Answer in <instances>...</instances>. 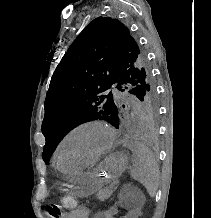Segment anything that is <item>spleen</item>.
<instances>
[{
	"label": "spleen",
	"mask_w": 211,
	"mask_h": 218,
	"mask_svg": "<svg viewBox=\"0 0 211 218\" xmlns=\"http://www.w3.org/2000/svg\"><path fill=\"white\" fill-rule=\"evenodd\" d=\"M131 178L146 188L149 196L154 198L159 186V168L150 150L140 148L132 154Z\"/></svg>",
	"instance_id": "1"
}]
</instances>
